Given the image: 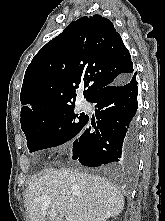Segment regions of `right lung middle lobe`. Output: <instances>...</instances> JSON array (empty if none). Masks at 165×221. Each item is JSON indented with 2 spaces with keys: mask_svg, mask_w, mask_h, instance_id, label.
<instances>
[{
  "mask_svg": "<svg viewBox=\"0 0 165 221\" xmlns=\"http://www.w3.org/2000/svg\"><path fill=\"white\" fill-rule=\"evenodd\" d=\"M88 116L74 112V105L47 111L21 127L30 152L61 145L74 137L85 125Z\"/></svg>",
  "mask_w": 165,
  "mask_h": 221,
  "instance_id": "dd1d6c3e",
  "label": "right lung middle lobe"
}]
</instances>
